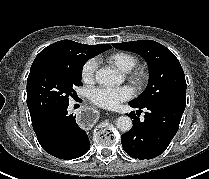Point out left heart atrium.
Wrapping results in <instances>:
<instances>
[{"label": "left heart atrium", "mask_w": 209, "mask_h": 179, "mask_svg": "<svg viewBox=\"0 0 209 179\" xmlns=\"http://www.w3.org/2000/svg\"><path fill=\"white\" fill-rule=\"evenodd\" d=\"M130 86L121 87H97L90 91L89 99L92 103L105 109L113 110L133 95Z\"/></svg>", "instance_id": "left-heart-atrium-1"}]
</instances>
